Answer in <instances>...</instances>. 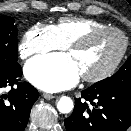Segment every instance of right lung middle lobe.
<instances>
[{"mask_svg": "<svg viewBox=\"0 0 131 131\" xmlns=\"http://www.w3.org/2000/svg\"><path fill=\"white\" fill-rule=\"evenodd\" d=\"M17 27L14 19L0 16V72H10L19 66Z\"/></svg>", "mask_w": 131, "mask_h": 131, "instance_id": "1", "label": "right lung middle lobe"}]
</instances>
